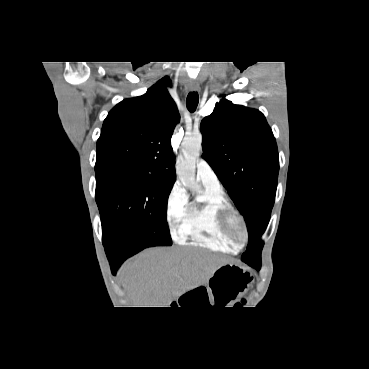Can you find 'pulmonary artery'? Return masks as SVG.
Wrapping results in <instances>:
<instances>
[{"label":"pulmonary artery","instance_id":"e3ab8cb5","mask_svg":"<svg viewBox=\"0 0 369 369\" xmlns=\"http://www.w3.org/2000/svg\"><path fill=\"white\" fill-rule=\"evenodd\" d=\"M196 174L197 178L202 182L204 186L210 187L215 190L221 189V185L216 173L206 160L200 159L197 162Z\"/></svg>","mask_w":369,"mask_h":369}]
</instances>
